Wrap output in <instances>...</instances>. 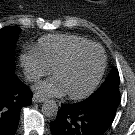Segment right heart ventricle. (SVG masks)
Segmentation results:
<instances>
[{
  "instance_id": "obj_1",
  "label": "right heart ventricle",
  "mask_w": 135,
  "mask_h": 135,
  "mask_svg": "<svg viewBox=\"0 0 135 135\" xmlns=\"http://www.w3.org/2000/svg\"><path fill=\"white\" fill-rule=\"evenodd\" d=\"M90 43L88 39L76 35L51 34L41 37L35 50L51 68L73 49Z\"/></svg>"
}]
</instances>
